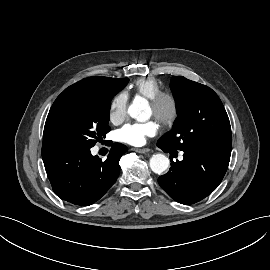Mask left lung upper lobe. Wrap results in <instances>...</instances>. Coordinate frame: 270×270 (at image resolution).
Returning <instances> with one entry per match:
<instances>
[{
  "label": "left lung upper lobe",
  "mask_w": 270,
  "mask_h": 270,
  "mask_svg": "<svg viewBox=\"0 0 270 270\" xmlns=\"http://www.w3.org/2000/svg\"><path fill=\"white\" fill-rule=\"evenodd\" d=\"M170 87L178 117L158 144L182 151L197 145L231 148L229 118L217 94L182 76L172 77Z\"/></svg>",
  "instance_id": "5c2ea615"
}]
</instances>
